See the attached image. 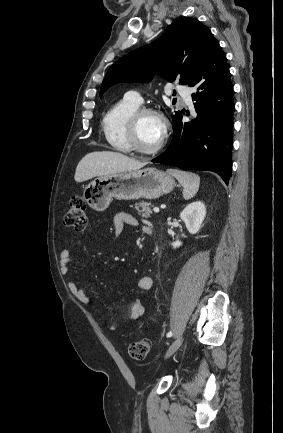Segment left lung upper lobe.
<instances>
[{"mask_svg": "<svg viewBox=\"0 0 283 433\" xmlns=\"http://www.w3.org/2000/svg\"><path fill=\"white\" fill-rule=\"evenodd\" d=\"M217 43L208 27L194 18H182L167 27L153 43L117 60L103 80L100 96L115 83L150 81L158 72L169 82L187 85L198 64ZM180 112H176V117Z\"/></svg>", "mask_w": 283, "mask_h": 433, "instance_id": "obj_1", "label": "left lung upper lobe"}]
</instances>
